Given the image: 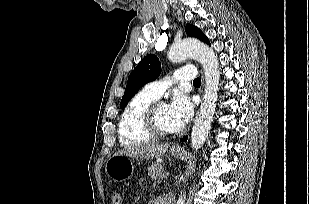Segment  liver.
<instances>
[{
    "label": "liver",
    "mask_w": 309,
    "mask_h": 204,
    "mask_svg": "<svg viewBox=\"0 0 309 204\" xmlns=\"http://www.w3.org/2000/svg\"><path fill=\"white\" fill-rule=\"evenodd\" d=\"M167 144L141 145L125 148L117 153V155H126L133 158L153 159L162 156L166 150Z\"/></svg>",
    "instance_id": "obj_1"
}]
</instances>
